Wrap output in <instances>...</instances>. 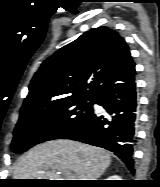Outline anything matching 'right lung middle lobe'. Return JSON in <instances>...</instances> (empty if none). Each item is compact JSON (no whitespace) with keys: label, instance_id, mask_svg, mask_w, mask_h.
Returning a JSON list of instances; mask_svg holds the SVG:
<instances>
[{"label":"right lung middle lobe","instance_id":"right-lung-middle-lobe-1","mask_svg":"<svg viewBox=\"0 0 160 187\" xmlns=\"http://www.w3.org/2000/svg\"><path fill=\"white\" fill-rule=\"evenodd\" d=\"M94 98H77L40 110L20 112L12 151L21 153L36 144L64 139L93 113Z\"/></svg>","mask_w":160,"mask_h":187}]
</instances>
